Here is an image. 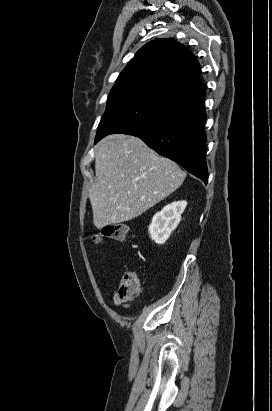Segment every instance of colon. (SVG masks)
Returning <instances> with one entry per match:
<instances>
[{
	"label": "colon",
	"mask_w": 272,
	"mask_h": 411,
	"mask_svg": "<svg viewBox=\"0 0 272 411\" xmlns=\"http://www.w3.org/2000/svg\"><path fill=\"white\" fill-rule=\"evenodd\" d=\"M128 233L127 225L123 223L107 224L97 234L92 235L91 239L95 243H101L102 238L123 240ZM140 293V280L138 274L133 270L126 271L119 283L117 296L122 302L134 300Z\"/></svg>",
	"instance_id": "colon-1"
}]
</instances>
